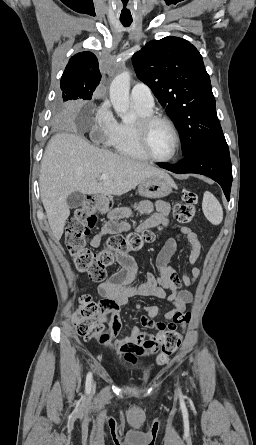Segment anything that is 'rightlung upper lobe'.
<instances>
[{"instance_id": "cb5924a9", "label": "right lung upper lobe", "mask_w": 256, "mask_h": 445, "mask_svg": "<svg viewBox=\"0 0 256 445\" xmlns=\"http://www.w3.org/2000/svg\"><path fill=\"white\" fill-rule=\"evenodd\" d=\"M100 80L96 56L91 52H82L70 58L61 77L60 87L67 97L90 100Z\"/></svg>"}]
</instances>
